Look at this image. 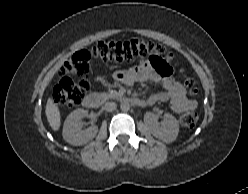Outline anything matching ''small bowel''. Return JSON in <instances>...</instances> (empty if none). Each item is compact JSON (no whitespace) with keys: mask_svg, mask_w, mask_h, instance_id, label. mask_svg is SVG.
<instances>
[{"mask_svg":"<svg viewBox=\"0 0 248 194\" xmlns=\"http://www.w3.org/2000/svg\"><path fill=\"white\" fill-rule=\"evenodd\" d=\"M121 72L125 75L121 79L125 84L148 82L162 87V91L148 98L147 103L149 105L169 102L176 113H186L194 110L197 106L196 100L187 97L186 90L181 82L171 76V71L167 64L155 66L152 60L149 59L134 68Z\"/></svg>","mask_w":248,"mask_h":194,"instance_id":"1","label":"small bowel"}]
</instances>
